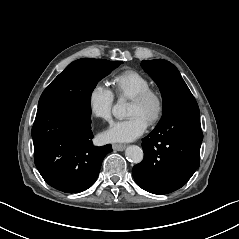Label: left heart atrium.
<instances>
[{
	"instance_id": "left-heart-atrium-1",
	"label": "left heart atrium",
	"mask_w": 239,
	"mask_h": 239,
	"mask_svg": "<svg viewBox=\"0 0 239 239\" xmlns=\"http://www.w3.org/2000/svg\"><path fill=\"white\" fill-rule=\"evenodd\" d=\"M148 122L139 114L113 123L103 134L109 142L132 141L145 132Z\"/></svg>"
}]
</instances>
